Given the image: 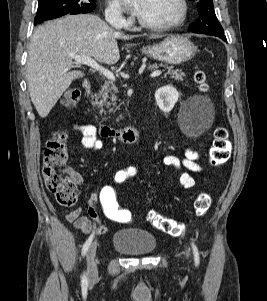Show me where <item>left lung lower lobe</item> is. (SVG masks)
Returning <instances> with one entry per match:
<instances>
[{
	"label": "left lung lower lobe",
	"instance_id": "left-lung-lower-lobe-1",
	"mask_svg": "<svg viewBox=\"0 0 267 301\" xmlns=\"http://www.w3.org/2000/svg\"><path fill=\"white\" fill-rule=\"evenodd\" d=\"M216 36L221 38L223 41H226L225 35H216Z\"/></svg>",
	"mask_w": 267,
	"mask_h": 301
}]
</instances>
